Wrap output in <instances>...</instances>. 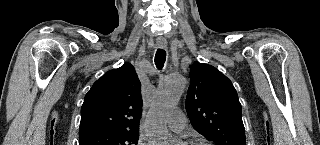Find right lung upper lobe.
Segmentation results:
<instances>
[{"instance_id":"1","label":"right lung upper lobe","mask_w":320,"mask_h":145,"mask_svg":"<svg viewBox=\"0 0 320 145\" xmlns=\"http://www.w3.org/2000/svg\"><path fill=\"white\" fill-rule=\"evenodd\" d=\"M140 86L135 69L129 63L104 74L85 96L79 137L103 131H139Z\"/></svg>"}]
</instances>
